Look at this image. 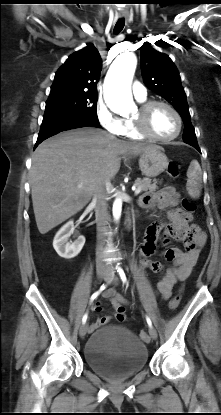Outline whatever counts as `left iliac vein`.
I'll use <instances>...</instances> for the list:
<instances>
[{"instance_id":"left-iliac-vein-1","label":"left iliac vein","mask_w":221,"mask_h":415,"mask_svg":"<svg viewBox=\"0 0 221 415\" xmlns=\"http://www.w3.org/2000/svg\"><path fill=\"white\" fill-rule=\"evenodd\" d=\"M106 281L108 283L117 284L118 279H117V277H113L112 273H109L108 274V277L106 278ZM149 334H150V337L153 340H156L157 339V332H156V330L153 327H150L149 328Z\"/></svg>"}]
</instances>
